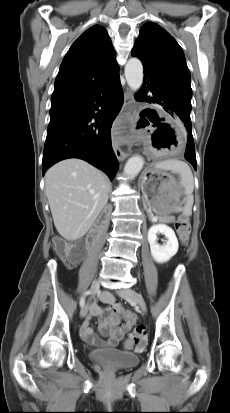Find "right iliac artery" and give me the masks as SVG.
<instances>
[{
  "instance_id": "82829eb1",
  "label": "right iliac artery",
  "mask_w": 230,
  "mask_h": 413,
  "mask_svg": "<svg viewBox=\"0 0 230 413\" xmlns=\"http://www.w3.org/2000/svg\"><path fill=\"white\" fill-rule=\"evenodd\" d=\"M90 293H91V291L85 292L84 296L80 299V306H81V307H83L84 304H85V297H86L87 295H89Z\"/></svg>"
}]
</instances>
